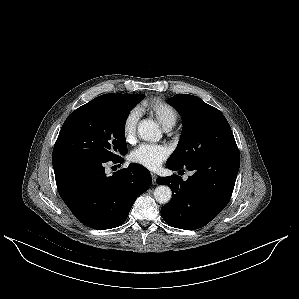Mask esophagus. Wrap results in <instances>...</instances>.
<instances>
[{
  "label": "esophagus",
  "instance_id": "1",
  "mask_svg": "<svg viewBox=\"0 0 299 299\" xmlns=\"http://www.w3.org/2000/svg\"><path fill=\"white\" fill-rule=\"evenodd\" d=\"M151 178H152V184L155 185L156 184L157 175L154 174V173H151Z\"/></svg>",
  "mask_w": 299,
  "mask_h": 299
}]
</instances>
